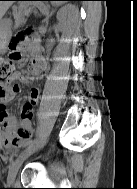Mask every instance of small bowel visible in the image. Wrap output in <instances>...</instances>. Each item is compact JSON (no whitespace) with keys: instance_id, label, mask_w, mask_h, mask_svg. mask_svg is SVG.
Returning a JSON list of instances; mask_svg holds the SVG:
<instances>
[{"instance_id":"1","label":"small bowel","mask_w":137,"mask_h":189,"mask_svg":"<svg viewBox=\"0 0 137 189\" xmlns=\"http://www.w3.org/2000/svg\"><path fill=\"white\" fill-rule=\"evenodd\" d=\"M45 69L44 59L35 60L29 67V76L14 72L8 83L0 85V139L7 150L20 149L26 145L33 130V107L38 103L40 89L37 86L30 88L28 99L19 111V128L16 119L9 114L7 104L20 92V84L27 85L31 80L38 79ZM29 106L32 108L31 112L28 110Z\"/></svg>"}]
</instances>
